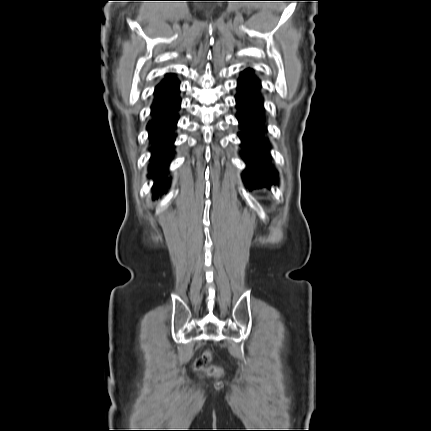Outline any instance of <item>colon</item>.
<instances>
[{"instance_id": "colon-1", "label": "colon", "mask_w": 431, "mask_h": 431, "mask_svg": "<svg viewBox=\"0 0 431 431\" xmlns=\"http://www.w3.org/2000/svg\"><path fill=\"white\" fill-rule=\"evenodd\" d=\"M209 360H210V354L205 353L196 361L195 367L197 369L206 368L207 373L211 376H220L222 374V370L217 367H209L208 366Z\"/></svg>"}]
</instances>
